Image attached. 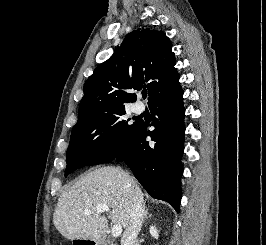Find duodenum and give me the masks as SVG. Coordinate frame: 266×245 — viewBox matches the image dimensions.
Returning a JSON list of instances; mask_svg holds the SVG:
<instances>
[{
	"mask_svg": "<svg viewBox=\"0 0 266 245\" xmlns=\"http://www.w3.org/2000/svg\"><path fill=\"white\" fill-rule=\"evenodd\" d=\"M75 245H105L104 237H74Z\"/></svg>",
	"mask_w": 266,
	"mask_h": 245,
	"instance_id": "duodenum-1",
	"label": "duodenum"
}]
</instances>
